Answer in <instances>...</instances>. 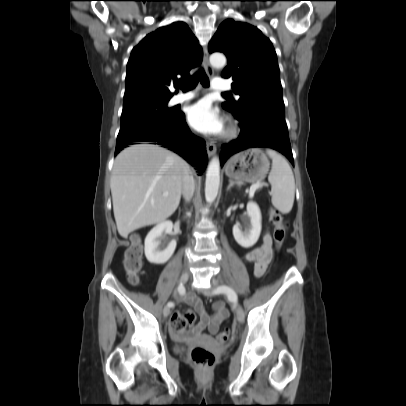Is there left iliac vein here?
Masks as SVG:
<instances>
[{"mask_svg": "<svg viewBox=\"0 0 406 406\" xmlns=\"http://www.w3.org/2000/svg\"><path fill=\"white\" fill-rule=\"evenodd\" d=\"M213 289L214 288H211L210 290H208V292L212 291ZM236 318L239 323H242L244 321V311L239 304L236 305Z\"/></svg>", "mask_w": 406, "mask_h": 406, "instance_id": "obj_1", "label": "left iliac vein"}]
</instances>
